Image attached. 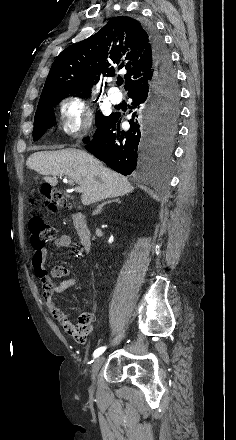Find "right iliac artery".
Returning a JSON list of instances; mask_svg holds the SVG:
<instances>
[{
    "label": "right iliac artery",
    "instance_id": "right-iliac-artery-1",
    "mask_svg": "<svg viewBox=\"0 0 236 440\" xmlns=\"http://www.w3.org/2000/svg\"><path fill=\"white\" fill-rule=\"evenodd\" d=\"M106 350V347H99L98 349H96L93 353V357L96 358L99 355H101L104 351Z\"/></svg>",
    "mask_w": 236,
    "mask_h": 440
}]
</instances>
